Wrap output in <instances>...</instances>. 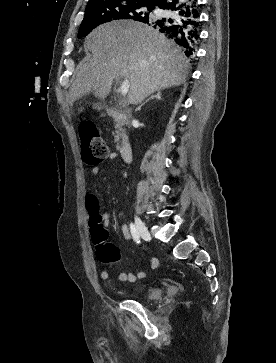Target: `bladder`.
I'll list each match as a JSON object with an SVG mask.
<instances>
[{
	"label": "bladder",
	"mask_w": 276,
	"mask_h": 363,
	"mask_svg": "<svg viewBox=\"0 0 276 363\" xmlns=\"http://www.w3.org/2000/svg\"><path fill=\"white\" fill-rule=\"evenodd\" d=\"M162 296V289L159 287H153L148 290L146 294V300H158Z\"/></svg>",
	"instance_id": "1"
}]
</instances>
